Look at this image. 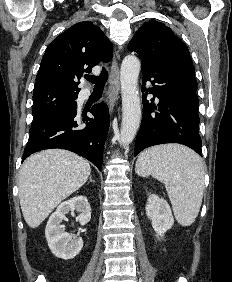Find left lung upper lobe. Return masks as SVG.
<instances>
[{
	"label": "left lung upper lobe",
	"mask_w": 232,
	"mask_h": 282,
	"mask_svg": "<svg viewBox=\"0 0 232 282\" xmlns=\"http://www.w3.org/2000/svg\"><path fill=\"white\" fill-rule=\"evenodd\" d=\"M129 50L139 55L142 70L194 76V66L188 48L163 23L149 20L142 25L129 42Z\"/></svg>",
	"instance_id": "left-lung-upper-lobe-1"
}]
</instances>
